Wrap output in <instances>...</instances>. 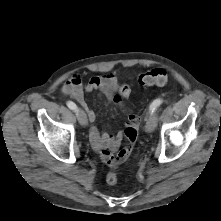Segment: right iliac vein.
Here are the masks:
<instances>
[{"mask_svg":"<svg viewBox=\"0 0 221 221\" xmlns=\"http://www.w3.org/2000/svg\"><path fill=\"white\" fill-rule=\"evenodd\" d=\"M76 115H77V119H78L79 123L82 126H86L88 124L87 116H86L85 112L82 109H77L76 110Z\"/></svg>","mask_w":221,"mask_h":221,"instance_id":"obj_1","label":"right iliac vein"}]
</instances>
